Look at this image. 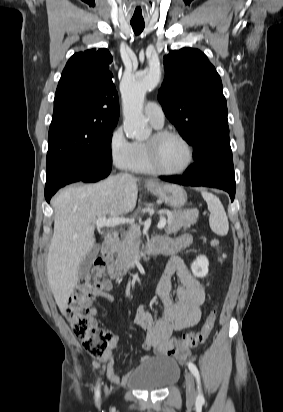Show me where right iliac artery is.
Masks as SVG:
<instances>
[{"mask_svg": "<svg viewBox=\"0 0 283 412\" xmlns=\"http://www.w3.org/2000/svg\"><path fill=\"white\" fill-rule=\"evenodd\" d=\"M99 397H100V390H99V385L97 386V389H96V391H95V398H96V401H98L99 400Z\"/></svg>", "mask_w": 283, "mask_h": 412, "instance_id": "1", "label": "right iliac artery"}]
</instances>
